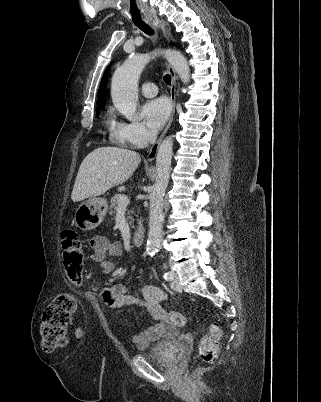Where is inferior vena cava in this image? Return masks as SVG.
<instances>
[{
	"instance_id": "602c4592",
	"label": "inferior vena cava",
	"mask_w": 321,
	"mask_h": 402,
	"mask_svg": "<svg viewBox=\"0 0 321 402\" xmlns=\"http://www.w3.org/2000/svg\"><path fill=\"white\" fill-rule=\"evenodd\" d=\"M157 134L156 132L152 131L149 133L148 138L150 143H153L156 140Z\"/></svg>"
}]
</instances>
